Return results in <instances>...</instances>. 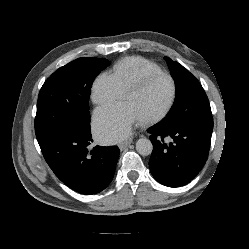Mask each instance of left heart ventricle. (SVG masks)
Returning a JSON list of instances; mask_svg holds the SVG:
<instances>
[{
    "label": "left heart ventricle",
    "mask_w": 249,
    "mask_h": 249,
    "mask_svg": "<svg viewBox=\"0 0 249 249\" xmlns=\"http://www.w3.org/2000/svg\"><path fill=\"white\" fill-rule=\"evenodd\" d=\"M171 96V84L166 78H157L148 83L142 90L124 97V102L142 119L149 117L167 104Z\"/></svg>",
    "instance_id": "b2bd125f"
}]
</instances>
